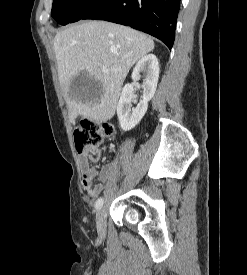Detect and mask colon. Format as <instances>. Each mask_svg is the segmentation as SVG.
I'll return each mask as SVG.
<instances>
[{
  "mask_svg": "<svg viewBox=\"0 0 247 275\" xmlns=\"http://www.w3.org/2000/svg\"><path fill=\"white\" fill-rule=\"evenodd\" d=\"M112 125L98 124L91 120H83L74 130V141L79 152H85L92 161L100 158L98 147L105 138L114 136Z\"/></svg>",
  "mask_w": 247,
  "mask_h": 275,
  "instance_id": "colon-1",
  "label": "colon"
}]
</instances>
